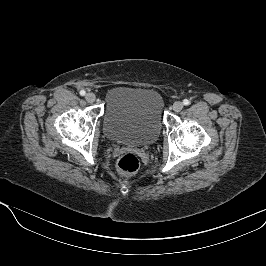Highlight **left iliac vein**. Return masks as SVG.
I'll list each match as a JSON object with an SVG mask.
<instances>
[{"instance_id":"4c4485c4","label":"left iliac vein","mask_w":266,"mask_h":266,"mask_svg":"<svg viewBox=\"0 0 266 266\" xmlns=\"http://www.w3.org/2000/svg\"><path fill=\"white\" fill-rule=\"evenodd\" d=\"M173 110L175 112H180L182 109H183V103L180 102V101H176L174 104H173Z\"/></svg>"}]
</instances>
